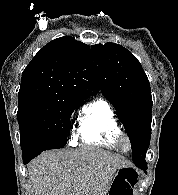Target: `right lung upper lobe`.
Segmentation results:
<instances>
[{"mask_svg":"<svg viewBox=\"0 0 178 195\" xmlns=\"http://www.w3.org/2000/svg\"><path fill=\"white\" fill-rule=\"evenodd\" d=\"M98 90L89 46L64 36L44 46L24 69L18 97L84 101Z\"/></svg>","mask_w":178,"mask_h":195,"instance_id":"1","label":"right lung upper lobe"}]
</instances>
